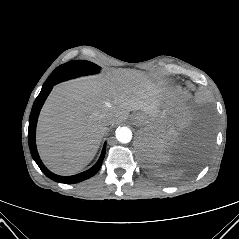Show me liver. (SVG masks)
I'll return each instance as SVG.
<instances>
[{"instance_id":"obj_1","label":"liver","mask_w":239,"mask_h":239,"mask_svg":"<svg viewBox=\"0 0 239 239\" xmlns=\"http://www.w3.org/2000/svg\"><path fill=\"white\" fill-rule=\"evenodd\" d=\"M163 92L143 73L130 69L55 86L38 120L36 141L41 159L56 174L82 170L94 158L108 125L126 120L130 111L158 117ZM171 106L176 122L186 124L187 112L180 105ZM106 115L114 118L109 124Z\"/></svg>"}]
</instances>
